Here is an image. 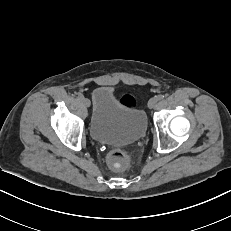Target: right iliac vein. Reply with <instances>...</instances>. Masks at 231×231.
I'll return each mask as SVG.
<instances>
[{
    "instance_id": "1",
    "label": "right iliac vein",
    "mask_w": 231,
    "mask_h": 231,
    "mask_svg": "<svg viewBox=\"0 0 231 231\" xmlns=\"http://www.w3.org/2000/svg\"><path fill=\"white\" fill-rule=\"evenodd\" d=\"M82 102L83 104L86 106V107H89L90 106V100L88 98H83L82 99Z\"/></svg>"
}]
</instances>
